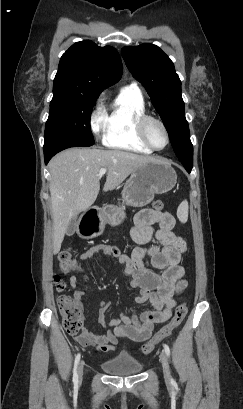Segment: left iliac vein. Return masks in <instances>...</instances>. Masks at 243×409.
<instances>
[{"mask_svg": "<svg viewBox=\"0 0 243 409\" xmlns=\"http://www.w3.org/2000/svg\"><path fill=\"white\" fill-rule=\"evenodd\" d=\"M160 361L162 364V368H163V374L166 380L170 379V368H169V363L167 360V357L165 355V353L163 351H161L160 353Z\"/></svg>", "mask_w": 243, "mask_h": 409, "instance_id": "obj_1", "label": "left iliac vein"}]
</instances>
